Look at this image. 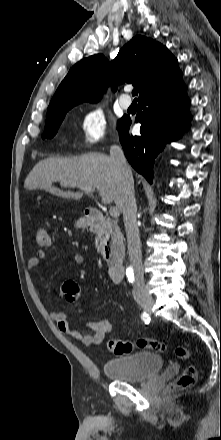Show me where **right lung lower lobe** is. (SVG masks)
I'll use <instances>...</instances> for the list:
<instances>
[{
    "label": "right lung lower lobe",
    "instance_id": "98d812e1",
    "mask_svg": "<svg viewBox=\"0 0 221 440\" xmlns=\"http://www.w3.org/2000/svg\"><path fill=\"white\" fill-rule=\"evenodd\" d=\"M139 101L136 122L142 124L141 136L129 135V117L118 125L120 142L132 167L152 183L155 157L168 141L180 138L192 116L190 101L182 78L170 87L145 96Z\"/></svg>",
    "mask_w": 221,
    "mask_h": 440
}]
</instances>
